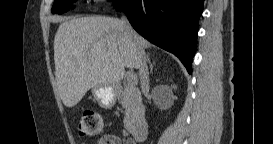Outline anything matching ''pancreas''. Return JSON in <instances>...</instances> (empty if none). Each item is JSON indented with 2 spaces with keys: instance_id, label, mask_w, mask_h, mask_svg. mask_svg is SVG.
Returning a JSON list of instances; mask_svg holds the SVG:
<instances>
[{
  "instance_id": "1",
  "label": "pancreas",
  "mask_w": 273,
  "mask_h": 144,
  "mask_svg": "<svg viewBox=\"0 0 273 144\" xmlns=\"http://www.w3.org/2000/svg\"><path fill=\"white\" fill-rule=\"evenodd\" d=\"M124 108V127L131 130L135 123L144 115V106L140 91L135 87L127 85L121 89L117 96Z\"/></svg>"
}]
</instances>
